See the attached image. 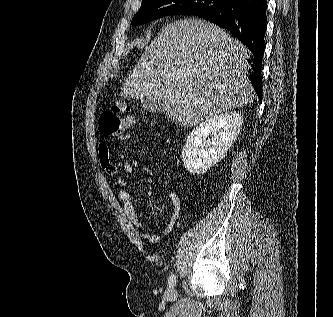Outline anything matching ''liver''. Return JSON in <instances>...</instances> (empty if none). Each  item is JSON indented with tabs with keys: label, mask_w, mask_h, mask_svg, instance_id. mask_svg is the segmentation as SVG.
<instances>
[{
	"label": "liver",
	"mask_w": 333,
	"mask_h": 317,
	"mask_svg": "<svg viewBox=\"0 0 333 317\" xmlns=\"http://www.w3.org/2000/svg\"><path fill=\"white\" fill-rule=\"evenodd\" d=\"M247 48L200 19L167 24L145 49L121 89L123 97L164 96V111L191 127L254 99Z\"/></svg>",
	"instance_id": "liver-1"
}]
</instances>
